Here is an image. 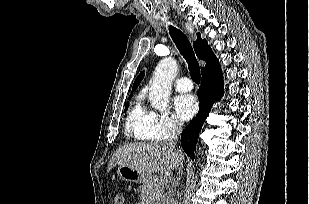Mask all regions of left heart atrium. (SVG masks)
<instances>
[{
	"label": "left heart atrium",
	"instance_id": "left-heart-atrium-1",
	"mask_svg": "<svg viewBox=\"0 0 309 204\" xmlns=\"http://www.w3.org/2000/svg\"><path fill=\"white\" fill-rule=\"evenodd\" d=\"M174 107L178 117L182 120H189L198 110V102L191 94L179 95L174 100Z\"/></svg>",
	"mask_w": 309,
	"mask_h": 204
}]
</instances>
